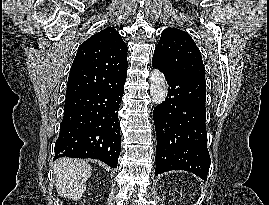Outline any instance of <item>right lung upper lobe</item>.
Returning <instances> with one entry per match:
<instances>
[{"instance_id":"cb5924a9","label":"right lung upper lobe","mask_w":269,"mask_h":205,"mask_svg":"<svg viewBox=\"0 0 269 205\" xmlns=\"http://www.w3.org/2000/svg\"><path fill=\"white\" fill-rule=\"evenodd\" d=\"M127 45L112 27L80 45L71 66L66 96L118 85L127 72Z\"/></svg>"}]
</instances>
